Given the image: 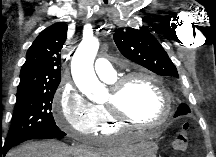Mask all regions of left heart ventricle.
Masks as SVG:
<instances>
[{
  "label": "left heart ventricle",
  "mask_w": 216,
  "mask_h": 157,
  "mask_svg": "<svg viewBox=\"0 0 216 157\" xmlns=\"http://www.w3.org/2000/svg\"><path fill=\"white\" fill-rule=\"evenodd\" d=\"M110 96L107 100H109ZM124 110L141 121H156L163 113V97L158 88L146 79H133L123 92Z\"/></svg>",
  "instance_id": "b2bd125f"
}]
</instances>
